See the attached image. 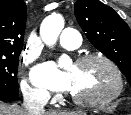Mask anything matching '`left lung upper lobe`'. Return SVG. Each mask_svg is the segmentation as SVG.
<instances>
[{"instance_id":"5c2ea615","label":"left lung upper lobe","mask_w":131,"mask_h":115,"mask_svg":"<svg viewBox=\"0 0 131 115\" xmlns=\"http://www.w3.org/2000/svg\"><path fill=\"white\" fill-rule=\"evenodd\" d=\"M74 14L88 40L120 68L131 84V31L127 23L99 0H77Z\"/></svg>"}]
</instances>
